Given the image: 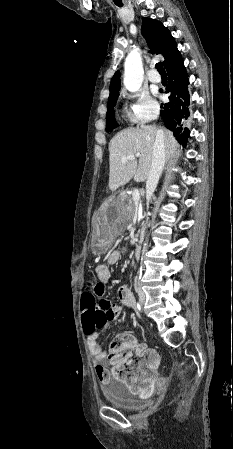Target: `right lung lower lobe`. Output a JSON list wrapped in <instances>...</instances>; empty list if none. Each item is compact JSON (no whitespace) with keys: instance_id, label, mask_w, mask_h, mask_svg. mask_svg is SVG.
<instances>
[{"instance_id":"1","label":"right lung lower lobe","mask_w":233,"mask_h":449,"mask_svg":"<svg viewBox=\"0 0 233 449\" xmlns=\"http://www.w3.org/2000/svg\"><path fill=\"white\" fill-rule=\"evenodd\" d=\"M168 86L165 93H169V102L161 104V116L168 129L173 131L176 139L186 145L189 129L186 127L190 116V97L188 92L189 79L183 60L169 68Z\"/></svg>"}]
</instances>
